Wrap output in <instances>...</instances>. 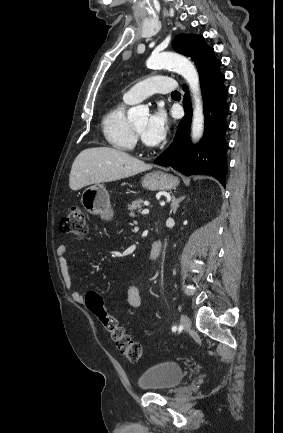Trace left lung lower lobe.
<instances>
[{"label":"left lung lower lobe","instance_id":"1","mask_svg":"<svg viewBox=\"0 0 283 433\" xmlns=\"http://www.w3.org/2000/svg\"><path fill=\"white\" fill-rule=\"evenodd\" d=\"M194 62L199 72L205 100V135L198 144H190L189 127L192 113L188 89L183 85V90L187 92L183 101L185 117L179 123L173 143L155 159L154 163L171 166L184 175H211L225 186L228 171L226 161L228 144L225 133L229 106L226 102L228 91L224 87V75L220 72L221 62L215 58L211 47Z\"/></svg>","mask_w":283,"mask_h":433}]
</instances>
